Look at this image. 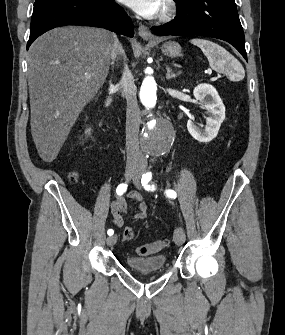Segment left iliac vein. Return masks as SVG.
I'll use <instances>...</instances> for the list:
<instances>
[{"label":"left iliac vein","mask_w":285,"mask_h":335,"mask_svg":"<svg viewBox=\"0 0 285 335\" xmlns=\"http://www.w3.org/2000/svg\"><path fill=\"white\" fill-rule=\"evenodd\" d=\"M133 183L134 185L140 189V173L137 174L136 177H133ZM174 241L177 245H182L185 242V232L181 227H178L174 231L173 235Z\"/></svg>","instance_id":"4c4485c4"}]
</instances>
